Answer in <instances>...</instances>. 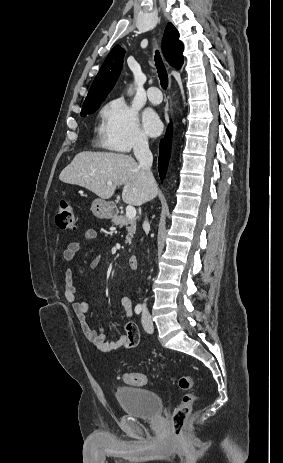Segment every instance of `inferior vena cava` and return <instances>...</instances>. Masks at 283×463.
<instances>
[{
    "mask_svg": "<svg viewBox=\"0 0 283 463\" xmlns=\"http://www.w3.org/2000/svg\"><path fill=\"white\" fill-rule=\"evenodd\" d=\"M133 152L142 170L145 186L147 188L152 187V185L155 183L154 176L151 172L153 155L149 149L147 138L137 137L134 141ZM148 226H149V223L147 220H145L143 223V228L146 229ZM144 309H145V305H144Z\"/></svg>",
    "mask_w": 283,
    "mask_h": 463,
    "instance_id": "602c4592",
    "label": "inferior vena cava"
}]
</instances>
